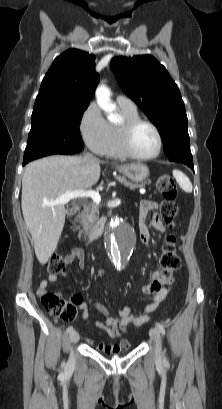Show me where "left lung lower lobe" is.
<instances>
[{
	"label": "left lung lower lobe",
	"mask_w": 222,
	"mask_h": 409,
	"mask_svg": "<svg viewBox=\"0 0 222 409\" xmlns=\"http://www.w3.org/2000/svg\"><path fill=\"white\" fill-rule=\"evenodd\" d=\"M169 160L174 161V162L183 163V164L187 165L188 167H190L194 171L193 162H192V154L191 153L171 156V157H169Z\"/></svg>",
	"instance_id": "1"
}]
</instances>
